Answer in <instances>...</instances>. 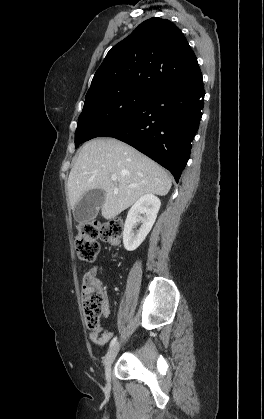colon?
Here are the masks:
<instances>
[{"mask_svg": "<svg viewBox=\"0 0 264 419\" xmlns=\"http://www.w3.org/2000/svg\"><path fill=\"white\" fill-rule=\"evenodd\" d=\"M123 232V223L120 219L99 223L90 221L78 226V235L75 239L77 256L87 262L94 261L99 253L97 238L116 244ZM82 307L87 327L92 331L100 330V318L107 304L106 294L101 282L92 274H85L82 283Z\"/></svg>", "mask_w": 264, "mask_h": 419, "instance_id": "1", "label": "colon"}]
</instances>
